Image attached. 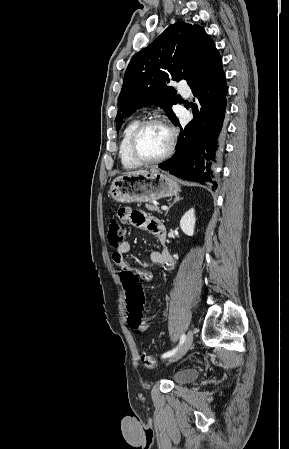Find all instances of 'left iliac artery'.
<instances>
[{
    "mask_svg": "<svg viewBox=\"0 0 289 449\" xmlns=\"http://www.w3.org/2000/svg\"><path fill=\"white\" fill-rule=\"evenodd\" d=\"M185 338H186V335L182 334L180 337V342H179L178 346L176 348H174L173 350H170V351L164 353L162 355V358H168V357H171L172 355H174L177 352V350L180 348V346L183 344V342L185 341Z\"/></svg>",
    "mask_w": 289,
    "mask_h": 449,
    "instance_id": "44dca946",
    "label": "left iliac artery"
}]
</instances>
